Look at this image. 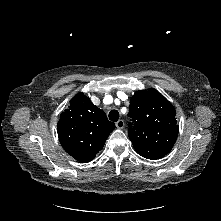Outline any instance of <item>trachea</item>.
I'll return each mask as SVG.
<instances>
[{
  "label": "trachea",
  "instance_id": "1",
  "mask_svg": "<svg viewBox=\"0 0 221 221\" xmlns=\"http://www.w3.org/2000/svg\"><path fill=\"white\" fill-rule=\"evenodd\" d=\"M108 116L111 121L116 122L119 119V112L117 110H111Z\"/></svg>",
  "mask_w": 221,
  "mask_h": 221
}]
</instances>
